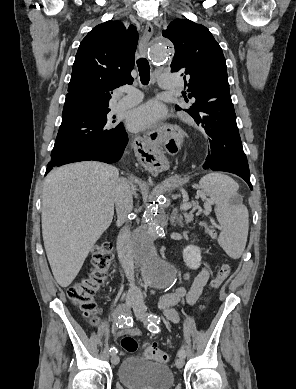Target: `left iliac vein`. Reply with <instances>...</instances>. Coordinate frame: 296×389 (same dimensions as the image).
Returning a JSON list of instances; mask_svg holds the SVG:
<instances>
[{
    "instance_id": "1",
    "label": "left iliac vein",
    "mask_w": 296,
    "mask_h": 389,
    "mask_svg": "<svg viewBox=\"0 0 296 389\" xmlns=\"http://www.w3.org/2000/svg\"><path fill=\"white\" fill-rule=\"evenodd\" d=\"M133 310H134L135 315L137 316L138 319H140L141 321H145V319H146V307H145L142 300L137 301L133 305ZM175 365L179 369L182 368L184 365V358L179 357L178 359H176Z\"/></svg>"
}]
</instances>
